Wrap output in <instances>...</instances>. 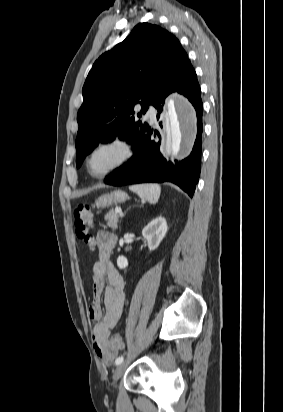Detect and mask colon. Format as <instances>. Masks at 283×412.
<instances>
[{
    "mask_svg": "<svg viewBox=\"0 0 283 412\" xmlns=\"http://www.w3.org/2000/svg\"><path fill=\"white\" fill-rule=\"evenodd\" d=\"M74 224L76 234L90 245H93V236L91 228L93 225V213L88 204H79L74 210ZM123 348L121 337L115 335L103 346L104 353L118 351Z\"/></svg>",
    "mask_w": 283,
    "mask_h": 412,
    "instance_id": "obj_1",
    "label": "colon"
}]
</instances>
